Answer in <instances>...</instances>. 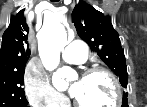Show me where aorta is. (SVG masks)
Instances as JSON below:
<instances>
[{"label": "aorta", "mask_w": 147, "mask_h": 107, "mask_svg": "<svg viewBox=\"0 0 147 107\" xmlns=\"http://www.w3.org/2000/svg\"><path fill=\"white\" fill-rule=\"evenodd\" d=\"M67 44V33L58 21H46L38 33L39 55L44 67L52 71L60 62V52ZM76 72L70 67H63L53 75V85L57 89L67 86L65 79H72Z\"/></svg>", "instance_id": "762f6f07"}]
</instances>
